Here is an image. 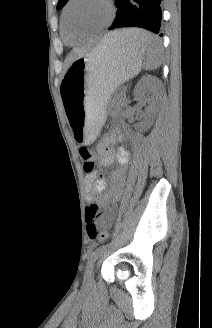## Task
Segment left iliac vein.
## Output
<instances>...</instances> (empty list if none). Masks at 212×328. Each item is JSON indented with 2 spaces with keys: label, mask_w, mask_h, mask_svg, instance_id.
<instances>
[{
  "label": "left iliac vein",
  "mask_w": 212,
  "mask_h": 328,
  "mask_svg": "<svg viewBox=\"0 0 212 328\" xmlns=\"http://www.w3.org/2000/svg\"><path fill=\"white\" fill-rule=\"evenodd\" d=\"M93 273H94V269L92 268L86 278L87 283H90L92 281Z\"/></svg>",
  "instance_id": "1"
}]
</instances>
